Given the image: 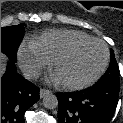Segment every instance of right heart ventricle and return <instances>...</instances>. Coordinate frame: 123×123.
Instances as JSON below:
<instances>
[{
    "label": "right heart ventricle",
    "mask_w": 123,
    "mask_h": 123,
    "mask_svg": "<svg viewBox=\"0 0 123 123\" xmlns=\"http://www.w3.org/2000/svg\"><path fill=\"white\" fill-rule=\"evenodd\" d=\"M92 38L89 35L72 29H51L30 41V46L52 61L61 51L71 44Z\"/></svg>",
    "instance_id": "1"
}]
</instances>
